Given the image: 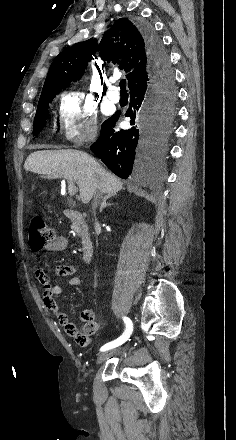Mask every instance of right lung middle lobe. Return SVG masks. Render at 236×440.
I'll list each match as a JSON object with an SVG mask.
<instances>
[{
	"mask_svg": "<svg viewBox=\"0 0 236 440\" xmlns=\"http://www.w3.org/2000/svg\"><path fill=\"white\" fill-rule=\"evenodd\" d=\"M51 94L39 100L36 115L34 118L33 135L38 134L45 126L47 119L48 103L55 95ZM154 99L156 106L159 108L157 112V119L160 130L161 142H164V135L169 129V118L172 115L173 105L176 100V89L172 81H168L160 86L154 88Z\"/></svg>",
	"mask_w": 236,
	"mask_h": 440,
	"instance_id": "obj_1",
	"label": "right lung middle lobe"
}]
</instances>
